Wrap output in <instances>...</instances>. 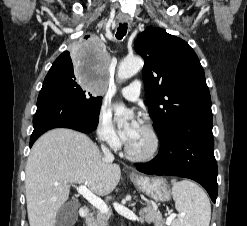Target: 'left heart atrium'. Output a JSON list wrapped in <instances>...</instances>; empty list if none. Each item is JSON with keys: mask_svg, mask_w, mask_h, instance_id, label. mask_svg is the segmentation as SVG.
I'll use <instances>...</instances> for the list:
<instances>
[{"mask_svg": "<svg viewBox=\"0 0 247 226\" xmlns=\"http://www.w3.org/2000/svg\"><path fill=\"white\" fill-rule=\"evenodd\" d=\"M141 123L133 120L131 124L121 133L123 140L128 143L141 129Z\"/></svg>", "mask_w": 247, "mask_h": 226, "instance_id": "1", "label": "left heart atrium"}]
</instances>
